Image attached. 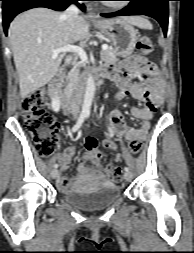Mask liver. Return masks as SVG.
<instances>
[{
    "mask_svg": "<svg viewBox=\"0 0 194 253\" xmlns=\"http://www.w3.org/2000/svg\"><path fill=\"white\" fill-rule=\"evenodd\" d=\"M123 19L139 28H151V23L141 16ZM8 36L19 75L20 95L25 98L57 74L63 54L52 58L51 51L88 38L89 24L83 16H78L74 25L69 26L61 13L34 8L11 22Z\"/></svg>",
    "mask_w": 194,
    "mask_h": 253,
    "instance_id": "obj_1",
    "label": "liver"
}]
</instances>
